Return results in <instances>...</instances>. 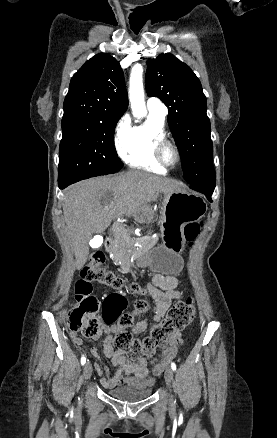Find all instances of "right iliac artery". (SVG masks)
Masks as SVG:
<instances>
[{
    "instance_id": "1",
    "label": "right iliac artery",
    "mask_w": 277,
    "mask_h": 438,
    "mask_svg": "<svg viewBox=\"0 0 277 438\" xmlns=\"http://www.w3.org/2000/svg\"><path fill=\"white\" fill-rule=\"evenodd\" d=\"M86 363V357L83 355L81 357V364L84 365Z\"/></svg>"
}]
</instances>
